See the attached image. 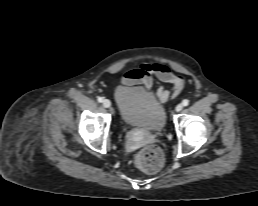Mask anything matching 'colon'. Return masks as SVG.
I'll list each match as a JSON object with an SVG mask.
<instances>
[{
	"label": "colon",
	"mask_w": 258,
	"mask_h": 206,
	"mask_svg": "<svg viewBox=\"0 0 258 206\" xmlns=\"http://www.w3.org/2000/svg\"><path fill=\"white\" fill-rule=\"evenodd\" d=\"M163 162L162 151L154 145L143 148L134 157L135 166L150 173L157 172L162 167Z\"/></svg>",
	"instance_id": "obj_1"
}]
</instances>
